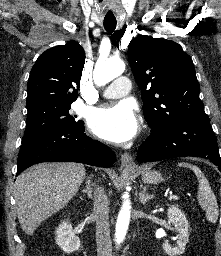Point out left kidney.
I'll return each mask as SVG.
<instances>
[{"label":"left kidney","mask_w":221,"mask_h":256,"mask_svg":"<svg viewBox=\"0 0 221 256\" xmlns=\"http://www.w3.org/2000/svg\"><path fill=\"white\" fill-rule=\"evenodd\" d=\"M169 223L172 224L178 233L177 245L171 247L168 241L163 243V250L169 256H178L184 253L185 246L189 241V225L185 214L176 206H172L167 211Z\"/></svg>","instance_id":"1"}]
</instances>
